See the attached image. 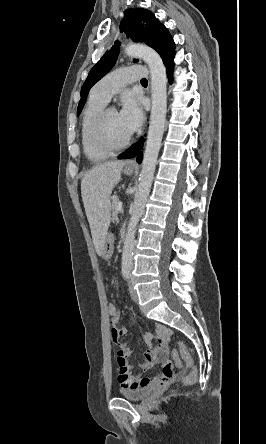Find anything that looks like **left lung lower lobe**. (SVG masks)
Listing matches in <instances>:
<instances>
[{"instance_id":"left-lung-lower-lobe-1","label":"left lung lower lobe","mask_w":266,"mask_h":444,"mask_svg":"<svg viewBox=\"0 0 266 444\" xmlns=\"http://www.w3.org/2000/svg\"><path fill=\"white\" fill-rule=\"evenodd\" d=\"M164 64L166 66V70H167V73H168V78H169V80H171L172 79L173 67H174L173 59H170V60L166 61ZM143 143H144V139L142 138L127 153L121 154L119 156V158L120 159H128V158H133V157L138 155L137 161H138V163H140L141 160H142V152L141 153H139V152H140V150H141V148L143 146Z\"/></svg>"}]
</instances>
